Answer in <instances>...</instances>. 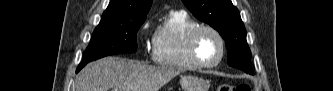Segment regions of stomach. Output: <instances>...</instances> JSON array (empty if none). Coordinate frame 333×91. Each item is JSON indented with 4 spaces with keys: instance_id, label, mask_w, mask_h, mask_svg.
I'll return each mask as SVG.
<instances>
[{
    "instance_id": "0dacf381",
    "label": "stomach",
    "mask_w": 333,
    "mask_h": 91,
    "mask_svg": "<svg viewBox=\"0 0 333 91\" xmlns=\"http://www.w3.org/2000/svg\"><path fill=\"white\" fill-rule=\"evenodd\" d=\"M180 84L183 91H208L209 82L196 76H182Z\"/></svg>"
}]
</instances>
